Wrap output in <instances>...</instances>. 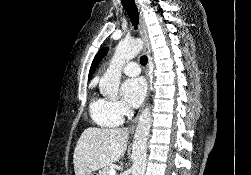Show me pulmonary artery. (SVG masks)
Wrapping results in <instances>:
<instances>
[{
  "mask_svg": "<svg viewBox=\"0 0 251 175\" xmlns=\"http://www.w3.org/2000/svg\"><path fill=\"white\" fill-rule=\"evenodd\" d=\"M122 71L128 75H137L141 73V68L136 61H131L123 67Z\"/></svg>",
  "mask_w": 251,
  "mask_h": 175,
  "instance_id": "pulmonary-artery-1",
  "label": "pulmonary artery"
}]
</instances>
